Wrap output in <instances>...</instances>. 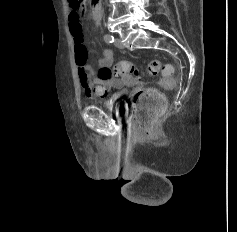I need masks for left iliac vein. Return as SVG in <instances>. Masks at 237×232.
Here are the masks:
<instances>
[{
    "label": "left iliac vein",
    "mask_w": 237,
    "mask_h": 232,
    "mask_svg": "<svg viewBox=\"0 0 237 232\" xmlns=\"http://www.w3.org/2000/svg\"><path fill=\"white\" fill-rule=\"evenodd\" d=\"M114 44H115V46H116L117 48H120V49L123 48V44H122V42H121V40H120L119 38H116V39H115Z\"/></svg>",
    "instance_id": "obj_1"
}]
</instances>
